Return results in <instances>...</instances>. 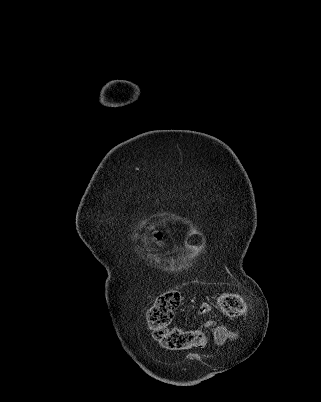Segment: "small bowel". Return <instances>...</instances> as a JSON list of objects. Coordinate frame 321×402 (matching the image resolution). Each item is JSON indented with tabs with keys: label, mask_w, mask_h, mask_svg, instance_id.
I'll return each instance as SVG.
<instances>
[{
	"label": "small bowel",
	"mask_w": 321,
	"mask_h": 402,
	"mask_svg": "<svg viewBox=\"0 0 321 402\" xmlns=\"http://www.w3.org/2000/svg\"><path fill=\"white\" fill-rule=\"evenodd\" d=\"M212 312V306L208 302L201 303L195 311V315L209 314ZM204 326L210 330L213 338L218 344L226 343L234 338L235 331L226 325L210 320Z\"/></svg>",
	"instance_id": "c3829d8e"
}]
</instances>
